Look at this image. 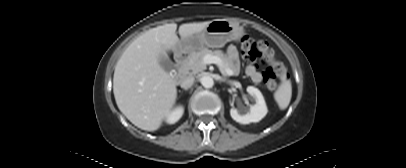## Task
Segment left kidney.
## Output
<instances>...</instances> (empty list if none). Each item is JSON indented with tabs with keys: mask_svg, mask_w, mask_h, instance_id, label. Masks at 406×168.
<instances>
[{
	"mask_svg": "<svg viewBox=\"0 0 406 168\" xmlns=\"http://www.w3.org/2000/svg\"><path fill=\"white\" fill-rule=\"evenodd\" d=\"M247 92L254 99L255 104L250 105L247 110L243 111H238L235 108L230 109L231 117L240 124L259 122L268 112L264 97L259 89L253 86H248Z\"/></svg>",
	"mask_w": 406,
	"mask_h": 168,
	"instance_id": "1",
	"label": "left kidney"
}]
</instances>
